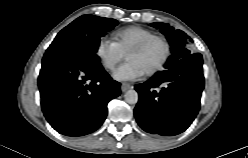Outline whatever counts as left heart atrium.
Masks as SVG:
<instances>
[{"label": "left heart atrium", "mask_w": 248, "mask_h": 158, "mask_svg": "<svg viewBox=\"0 0 248 158\" xmlns=\"http://www.w3.org/2000/svg\"><path fill=\"white\" fill-rule=\"evenodd\" d=\"M146 72L135 61H128L119 67L113 74V77L119 81H135L140 79Z\"/></svg>", "instance_id": "left-heart-atrium-1"}]
</instances>
